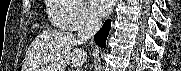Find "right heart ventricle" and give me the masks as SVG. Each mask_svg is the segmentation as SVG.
I'll use <instances>...</instances> for the list:
<instances>
[{
    "mask_svg": "<svg viewBox=\"0 0 181 71\" xmlns=\"http://www.w3.org/2000/svg\"><path fill=\"white\" fill-rule=\"evenodd\" d=\"M48 12L53 25L60 29H65V26L63 24L64 7L59 3L50 1Z\"/></svg>",
    "mask_w": 181,
    "mask_h": 71,
    "instance_id": "obj_1",
    "label": "right heart ventricle"
}]
</instances>
